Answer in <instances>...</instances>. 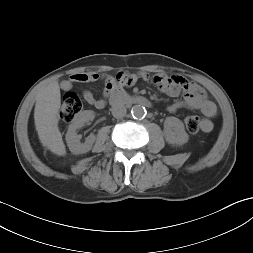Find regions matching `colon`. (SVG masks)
Wrapping results in <instances>:
<instances>
[{
	"instance_id": "1",
	"label": "colon",
	"mask_w": 253,
	"mask_h": 253,
	"mask_svg": "<svg viewBox=\"0 0 253 253\" xmlns=\"http://www.w3.org/2000/svg\"><path fill=\"white\" fill-rule=\"evenodd\" d=\"M82 102L74 93H67L63 98L60 111L61 119L65 122H71L81 112ZM185 126L190 133H197L202 129V120L196 115L186 116Z\"/></svg>"
}]
</instances>
